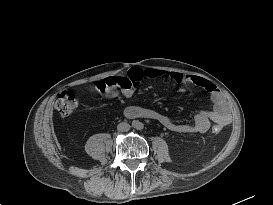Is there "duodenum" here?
Instances as JSON below:
<instances>
[{"label": "duodenum", "instance_id": "duodenum-1", "mask_svg": "<svg viewBox=\"0 0 273 205\" xmlns=\"http://www.w3.org/2000/svg\"><path fill=\"white\" fill-rule=\"evenodd\" d=\"M127 112V111H126ZM139 116H148V114L141 113Z\"/></svg>", "mask_w": 273, "mask_h": 205}]
</instances>
